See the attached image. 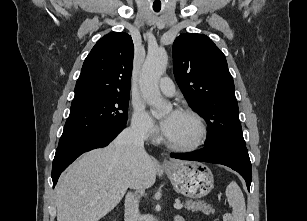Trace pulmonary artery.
Listing matches in <instances>:
<instances>
[{
	"instance_id": "1",
	"label": "pulmonary artery",
	"mask_w": 307,
	"mask_h": 221,
	"mask_svg": "<svg viewBox=\"0 0 307 221\" xmlns=\"http://www.w3.org/2000/svg\"><path fill=\"white\" fill-rule=\"evenodd\" d=\"M159 89L167 96H173L176 92L175 85L169 77H163L160 80Z\"/></svg>"
}]
</instances>
